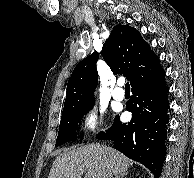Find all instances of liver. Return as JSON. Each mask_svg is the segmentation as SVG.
<instances>
[{
	"instance_id": "6515ba94",
	"label": "liver",
	"mask_w": 194,
	"mask_h": 178,
	"mask_svg": "<svg viewBox=\"0 0 194 178\" xmlns=\"http://www.w3.org/2000/svg\"><path fill=\"white\" fill-rule=\"evenodd\" d=\"M133 162L119 151L100 144H90L60 154L52 164L48 178H103L106 169L125 174Z\"/></svg>"
}]
</instances>
